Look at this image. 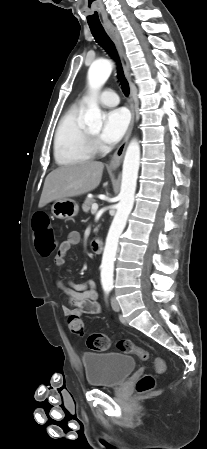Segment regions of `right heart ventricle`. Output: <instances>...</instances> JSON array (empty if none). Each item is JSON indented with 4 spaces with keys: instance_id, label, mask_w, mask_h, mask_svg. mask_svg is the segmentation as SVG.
Segmentation results:
<instances>
[{
    "instance_id": "e07e8e85",
    "label": "right heart ventricle",
    "mask_w": 207,
    "mask_h": 449,
    "mask_svg": "<svg viewBox=\"0 0 207 449\" xmlns=\"http://www.w3.org/2000/svg\"><path fill=\"white\" fill-rule=\"evenodd\" d=\"M83 106L69 109L60 119L54 135V158L58 165L78 164L93 157L88 146L85 129L81 126L80 116Z\"/></svg>"
}]
</instances>
